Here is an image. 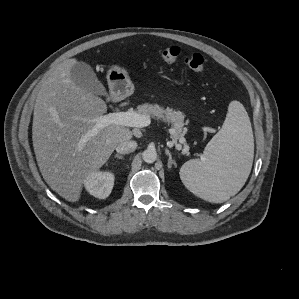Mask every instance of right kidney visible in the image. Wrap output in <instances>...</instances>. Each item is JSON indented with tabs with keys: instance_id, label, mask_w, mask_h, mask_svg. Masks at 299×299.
<instances>
[{
	"instance_id": "right-kidney-1",
	"label": "right kidney",
	"mask_w": 299,
	"mask_h": 299,
	"mask_svg": "<svg viewBox=\"0 0 299 299\" xmlns=\"http://www.w3.org/2000/svg\"><path fill=\"white\" fill-rule=\"evenodd\" d=\"M87 191L100 199L107 198L114 185V175L111 172H91L85 179Z\"/></svg>"
}]
</instances>
